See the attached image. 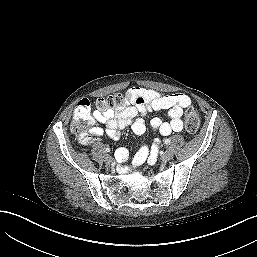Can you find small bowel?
<instances>
[{"mask_svg": "<svg viewBox=\"0 0 257 257\" xmlns=\"http://www.w3.org/2000/svg\"><path fill=\"white\" fill-rule=\"evenodd\" d=\"M128 102L113 111H94L92 118L94 124L99 122L104 124V128L93 126L88 132L80 133L78 140L82 144H89L92 137L101 136L104 132L112 139H118L120 132L126 127H131L136 135H142L146 130L143 119L153 110H165L169 116L168 121L155 117L150 121L151 128L162 136L180 132L183 129L182 116L184 110L188 108L192 101L185 94L163 95L156 90L133 87L128 91ZM76 111H74V117ZM157 147H142L133 158V165L138 166L145 162L153 164L156 158ZM118 161L124 162L129 157V152L121 148L116 152Z\"/></svg>", "mask_w": 257, "mask_h": 257, "instance_id": "c3829d8e", "label": "small bowel"}]
</instances>
